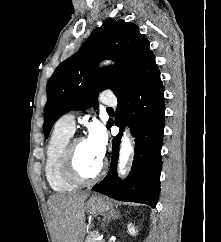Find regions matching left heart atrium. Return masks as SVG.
<instances>
[{
    "instance_id": "obj_1",
    "label": "left heart atrium",
    "mask_w": 221,
    "mask_h": 242,
    "mask_svg": "<svg viewBox=\"0 0 221 242\" xmlns=\"http://www.w3.org/2000/svg\"><path fill=\"white\" fill-rule=\"evenodd\" d=\"M85 141L90 150L98 158L102 159L104 157L107 146V134L104 127L100 123L95 122L91 124Z\"/></svg>"
}]
</instances>
